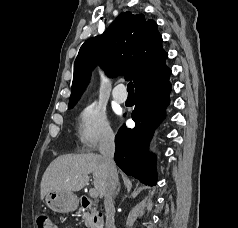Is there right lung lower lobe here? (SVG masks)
Masks as SVG:
<instances>
[{
    "label": "right lung lower lobe",
    "mask_w": 238,
    "mask_h": 228,
    "mask_svg": "<svg viewBox=\"0 0 238 228\" xmlns=\"http://www.w3.org/2000/svg\"><path fill=\"white\" fill-rule=\"evenodd\" d=\"M170 69L135 90V108L132 119L135 128L123 125L115 138V162L127 174L146 185L156 184V158L150 154L149 143L156 127L165 117L164 108L169 105Z\"/></svg>",
    "instance_id": "1"
}]
</instances>
